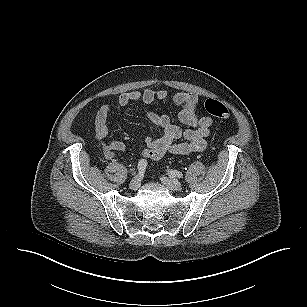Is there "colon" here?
<instances>
[{"label":"colon","mask_w":307,"mask_h":307,"mask_svg":"<svg viewBox=\"0 0 307 307\" xmlns=\"http://www.w3.org/2000/svg\"><path fill=\"white\" fill-rule=\"evenodd\" d=\"M205 111L218 119H227L229 117V111L224 104L215 99H208L204 104Z\"/></svg>","instance_id":"obj_1"}]
</instances>
